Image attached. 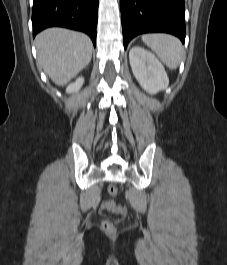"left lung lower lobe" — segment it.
Listing matches in <instances>:
<instances>
[{"label": "left lung lower lobe", "mask_w": 227, "mask_h": 265, "mask_svg": "<svg viewBox=\"0 0 227 265\" xmlns=\"http://www.w3.org/2000/svg\"><path fill=\"white\" fill-rule=\"evenodd\" d=\"M124 48L142 33L166 32L184 43V0H120Z\"/></svg>", "instance_id": "1"}]
</instances>
